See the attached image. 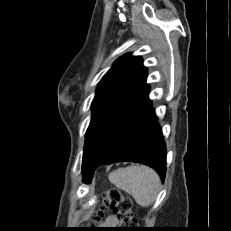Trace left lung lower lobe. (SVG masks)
Wrapping results in <instances>:
<instances>
[{
  "instance_id": "left-lung-lower-lobe-1",
  "label": "left lung lower lobe",
  "mask_w": 231,
  "mask_h": 231,
  "mask_svg": "<svg viewBox=\"0 0 231 231\" xmlns=\"http://www.w3.org/2000/svg\"><path fill=\"white\" fill-rule=\"evenodd\" d=\"M145 84L112 119L82 165L83 182L96 168L116 162H138L154 168L165 178L166 148Z\"/></svg>"
}]
</instances>
